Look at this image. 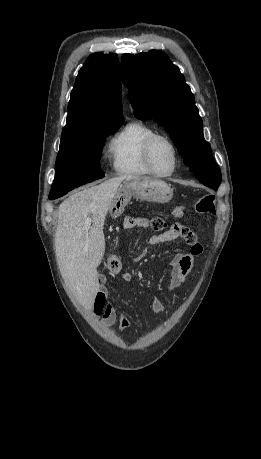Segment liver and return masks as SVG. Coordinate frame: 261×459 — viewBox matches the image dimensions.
Here are the masks:
<instances>
[{
    "label": "liver",
    "mask_w": 261,
    "mask_h": 459,
    "mask_svg": "<svg viewBox=\"0 0 261 459\" xmlns=\"http://www.w3.org/2000/svg\"><path fill=\"white\" fill-rule=\"evenodd\" d=\"M130 176L108 179L76 192L58 209L55 249L61 275L77 299L91 309L99 291L97 267L105 253L103 226L118 188ZM92 218V226L85 221Z\"/></svg>",
    "instance_id": "liver-1"
}]
</instances>
